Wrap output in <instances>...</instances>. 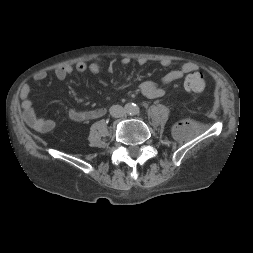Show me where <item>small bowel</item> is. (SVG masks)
Listing matches in <instances>:
<instances>
[{
  "instance_id": "c3829d8e",
  "label": "small bowel",
  "mask_w": 253,
  "mask_h": 253,
  "mask_svg": "<svg viewBox=\"0 0 253 253\" xmlns=\"http://www.w3.org/2000/svg\"><path fill=\"white\" fill-rule=\"evenodd\" d=\"M130 57H123L120 62L123 65H128L131 63ZM148 59L146 57H139L137 62L139 65H145ZM106 62L105 58H98L93 60L90 63L80 61L74 66L70 64L59 66L55 69V76L59 80H64L68 75H70L74 70L78 72H85L90 70L92 72H98L102 69L104 63ZM160 64L163 67H168L171 65L170 59H162ZM110 66V70H111ZM198 69V66L193 62L184 63L180 68L173 69L165 73L158 83L153 81H143L139 85L140 92L149 99L160 98L165 95V87L179 79H182L185 75ZM46 72L42 71L35 75V80L41 81L46 78ZM30 95V86L24 85L20 92L21 108H22V117L28 126L34 130L42 133L51 131L54 126V120L45 117H39L36 114V111L32 105V102L29 98ZM106 113L104 108L98 107L91 110H78L71 109L68 112V117L74 122H88L90 120H95L103 117Z\"/></svg>"
}]
</instances>
